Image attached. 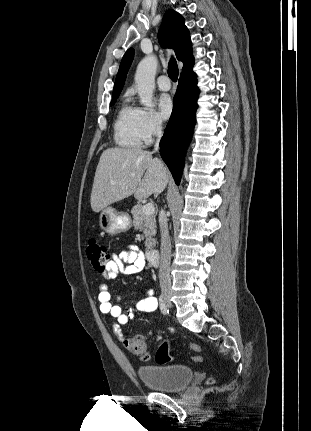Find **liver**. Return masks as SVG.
Instances as JSON below:
<instances>
[{"instance_id": "obj_1", "label": "liver", "mask_w": 311, "mask_h": 431, "mask_svg": "<svg viewBox=\"0 0 311 431\" xmlns=\"http://www.w3.org/2000/svg\"><path fill=\"white\" fill-rule=\"evenodd\" d=\"M169 182L165 164L142 148H108L96 168L90 204L101 212L115 202L134 196L135 200L158 198Z\"/></svg>"}]
</instances>
